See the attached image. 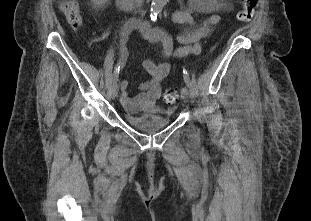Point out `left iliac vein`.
<instances>
[{"instance_id":"left-iliac-vein-1","label":"left iliac vein","mask_w":311,"mask_h":221,"mask_svg":"<svg viewBox=\"0 0 311 221\" xmlns=\"http://www.w3.org/2000/svg\"><path fill=\"white\" fill-rule=\"evenodd\" d=\"M181 97L185 102L189 101L190 98V92L186 87H183L181 90Z\"/></svg>"}]
</instances>
